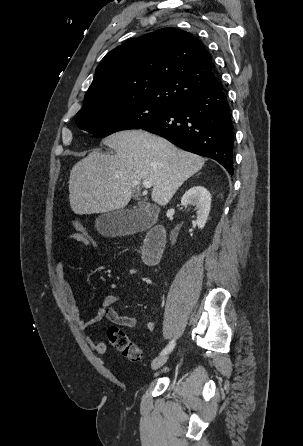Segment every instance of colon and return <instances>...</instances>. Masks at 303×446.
Instances as JSON below:
<instances>
[{"mask_svg": "<svg viewBox=\"0 0 303 446\" xmlns=\"http://www.w3.org/2000/svg\"><path fill=\"white\" fill-rule=\"evenodd\" d=\"M72 227L74 233L84 237H90L93 240L94 247H96V241L88 234L86 228L80 221L74 219L72 221ZM107 338L109 344L119 351L127 360L137 362L141 359L142 351L140 347L133 343L121 328L116 326L109 327L107 330Z\"/></svg>", "mask_w": 303, "mask_h": 446, "instance_id": "5ec220e1", "label": "colon"}]
</instances>
